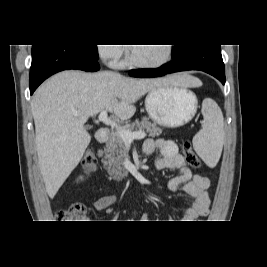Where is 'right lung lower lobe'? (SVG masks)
<instances>
[{
	"label": "right lung lower lobe",
	"instance_id": "1",
	"mask_svg": "<svg viewBox=\"0 0 267 267\" xmlns=\"http://www.w3.org/2000/svg\"><path fill=\"white\" fill-rule=\"evenodd\" d=\"M70 69L95 72L100 69V66L96 58L77 45H32L30 94L32 95L49 76Z\"/></svg>",
	"mask_w": 267,
	"mask_h": 267
}]
</instances>
